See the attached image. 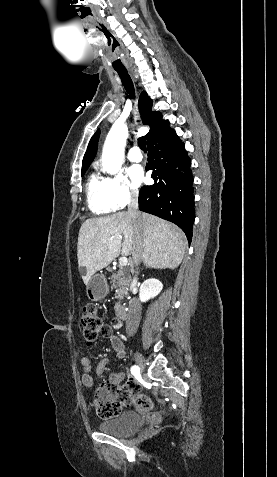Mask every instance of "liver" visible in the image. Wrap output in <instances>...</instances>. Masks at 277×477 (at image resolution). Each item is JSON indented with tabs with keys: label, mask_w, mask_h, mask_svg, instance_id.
I'll return each instance as SVG.
<instances>
[{
	"label": "liver",
	"mask_w": 277,
	"mask_h": 477,
	"mask_svg": "<svg viewBox=\"0 0 277 477\" xmlns=\"http://www.w3.org/2000/svg\"><path fill=\"white\" fill-rule=\"evenodd\" d=\"M141 260L149 268L175 269L185 254L186 237L174 224L156 216L140 213ZM112 239V240H111ZM136 228L128 212L87 219L79 230L77 257L87 285L90 278L122 254L135 251Z\"/></svg>",
	"instance_id": "1"
}]
</instances>
